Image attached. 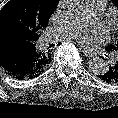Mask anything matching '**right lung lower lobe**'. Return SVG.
<instances>
[{"instance_id":"1","label":"right lung lower lobe","mask_w":118,"mask_h":118,"mask_svg":"<svg viewBox=\"0 0 118 118\" xmlns=\"http://www.w3.org/2000/svg\"><path fill=\"white\" fill-rule=\"evenodd\" d=\"M37 50L17 35L0 39V67L18 79H32L40 73L35 70Z\"/></svg>"}]
</instances>
